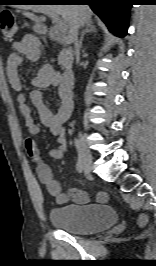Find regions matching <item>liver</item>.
<instances>
[{
  "instance_id": "1",
  "label": "liver",
  "mask_w": 156,
  "mask_h": 266,
  "mask_svg": "<svg viewBox=\"0 0 156 266\" xmlns=\"http://www.w3.org/2000/svg\"><path fill=\"white\" fill-rule=\"evenodd\" d=\"M23 10H32L33 12H50L61 15L66 23L69 32L68 39L73 41L75 27L84 26L91 20L92 11L86 5H22ZM24 15L36 22V30L42 27L41 22L44 18L37 17L33 13L24 12Z\"/></svg>"
}]
</instances>
